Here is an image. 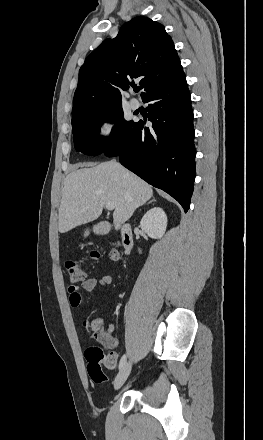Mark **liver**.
Here are the masks:
<instances>
[{
	"mask_svg": "<svg viewBox=\"0 0 263 440\" xmlns=\"http://www.w3.org/2000/svg\"><path fill=\"white\" fill-rule=\"evenodd\" d=\"M152 196L148 183L116 161L82 165L65 179L58 213L59 232L96 220L107 202L115 205L114 223L123 224Z\"/></svg>",
	"mask_w": 263,
	"mask_h": 440,
	"instance_id": "obj_1",
	"label": "liver"
}]
</instances>
